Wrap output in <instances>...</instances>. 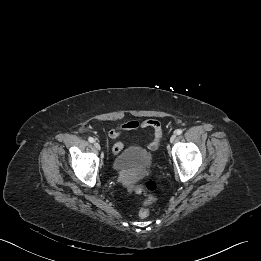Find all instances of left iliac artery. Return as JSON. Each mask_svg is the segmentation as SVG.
<instances>
[{"instance_id": "left-iliac-artery-1", "label": "left iliac artery", "mask_w": 261, "mask_h": 261, "mask_svg": "<svg viewBox=\"0 0 261 261\" xmlns=\"http://www.w3.org/2000/svg\"><path fill=\"white\" fill-rule=\"evenodd\" d=\"M176 134H177V135L182 134V130H181V129H177V130H176Z\"/></svg>"}]
</instances>
